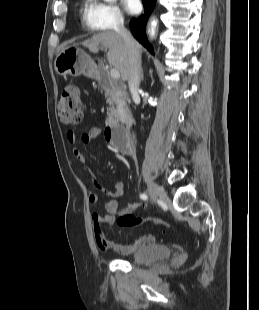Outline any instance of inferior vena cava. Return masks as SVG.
<instances>
[{
	"instance_id": "1",
	"label": "inferior vena cava",
	"mask_w": 259,
	"mask_h": 310,
	"mask_svg": "<svg viewBox=\"0 0 259 310\" xmlns=\"http://www.w3.org/2000/svg\"><path fill=\"white\" fill-rule=\"evenodd\" d=\"M115 31L122 37L129 55V76L128 85L133 97L138 95L141 74V57L137 49L136 41L131 33L124 27V20L117 22Z\"/></svg>"
}]
</instances>
